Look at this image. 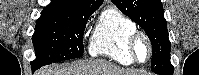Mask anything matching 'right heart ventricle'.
Instances as JSON below:
<instances>
[{
	"label": "right heart ventricle",
	"instance_id": "right-heart-ventricle-1",
	"mask_svg": "<svg viewBox=\"0 0 199 75\" xmlns=\"http://www.w3.org/2000/svg\"><path fill=\"white\" fill-rule=\"evenodd\" d=\"M134 30L136 25L130 17L116 9L106 10L92 33L90 53L107 56L123 65L134 63L128 45Z\"/></svg>",
	"mask_w": 199,
	"mask_h": 75
}]
</instances>
